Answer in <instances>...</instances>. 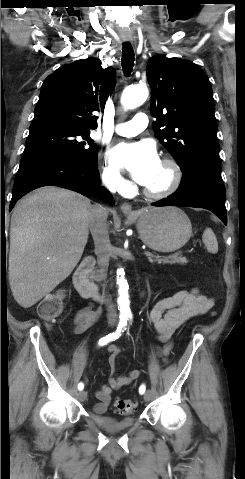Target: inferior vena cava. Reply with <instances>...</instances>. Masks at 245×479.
I'll list each match as a JSON object with an SVG mask.
<instances>
[{
    "mask_svg": "<svg viewBox=\"0 0 245 479\" xmlns=\"http://www.w3.org/2000/svg\"><path fill=\"white\" fill-rule=\"evenodd\" d=\"M105 185L110 189L115 186L113 181H106ZM108 209L100 204L91 205L87 222L95 244V254L102 276H106L109 266L111 243L107 226ZM107 317L110 320L117 319V311L110 299H107Z\"/></svg>",
    "mask_w": 245,
    "mask_h": 479,
    "instance_id": "obj_1",
    "label": "inferior vena cava"
}]
</instances>
